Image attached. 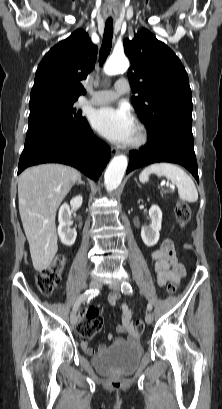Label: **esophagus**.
I'll return each instance as SVG.
<instances>
[{"mask_svg": "<svg viewBox=\"0 0 222 409\" xmlns=\"http://www.w3.org/2000/svg\"><path fill=\"white\" fill-rule=\"evenodd\" d=\"M111 152H112V154H117V153H118V150H117L116 148H112V149H111Z\"/></svg>", "mask_w": 222, "mask_h": 409, "instance_id": "obj_1", "label": "esophagus"}]
</instances>
